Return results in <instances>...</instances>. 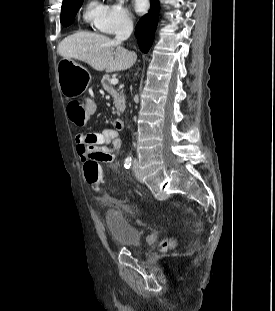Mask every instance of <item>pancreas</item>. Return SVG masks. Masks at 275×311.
<instances>
[{
    "label": "pancreas",
    "instance_id": "1",
    "mask_svg": "<svg viewBox=\"0 0 275 311\" xmlns=\"http://www.w3.org/2000/svg\"><path fill=\"white\" fill-rule=\"evenodd\" d=\"M101 84L104 90L112 95L113 104L116 107V112L120 115L121 112L125 110V97L123 91L117 92L111 84V77L109 75H104Z\"/></svg>",
    "mask_w": 275,
    "mask_h": 311
}]
</instances>
